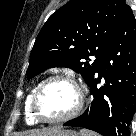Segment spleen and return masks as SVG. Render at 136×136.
Returning <instances> with one entry per match:
<instances>
[{"label": "spleen", "instance_id": "obj_1", "mask_svg": "<svg viewBox=\"0 0 136 136\" xmlns=\"http://www.w3.org/2000/svg\"><path fill=\"white\" fill-rule=\"evenodd\" d=\"M81 135L82 136H99L93 132H90V131H86V130H81Z\"/></svg>", "mask_w": 136, "mask_h": 136}]
</instances>
